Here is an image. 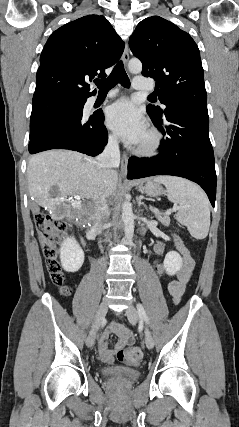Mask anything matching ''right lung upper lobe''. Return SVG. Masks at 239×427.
<instances>
[{
	"label": "right lung upper lobe",
	"instance_id": "cb5924a9",
	"mask_svg": "<svg viewBox=\"0 0 239 427\" xmlns=\"http://www.w3.org/2000/svg\"><path fill=\"white\" fill-rule=\"evenodd\" d=\"M124 42L104 16L87 15L57 29L40 56L33 99L68 96L87 99L95 76L106 77L105 69L121 57Z\"/></svg>",
	"mask_w": 239,
	"mask_h": 427
}]
</instances>
